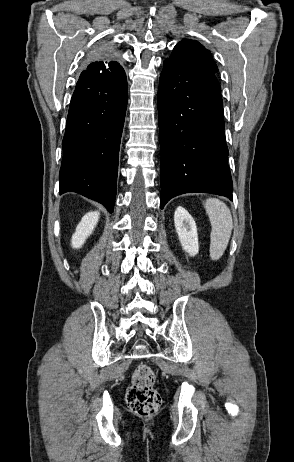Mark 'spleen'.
I'll return each mask as SVG.
<instances>
[{
    "mask_svg": "<svg viewBox=\"0 0 294 462\" xmlns=\"http://www.w3.org/2000/svg\"><path fill=\"white\" fill-rule=\"evenodd\" d=\"M205 208L212 226L210 256L217 260L227 248L233 228L232 215L226 204L216 198H208Z\"/></svg>",
    "mask_w": 294,
    "mask_h": 462,
    "instance_id": "1",
    "label": "spleen"
}]
</instances>
